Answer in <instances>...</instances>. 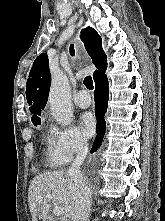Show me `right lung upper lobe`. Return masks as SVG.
<instances>
[{"instance_id":"obj_1","label":"right lung upper lobe","mask_w":165,"mask_h":221,"mask_svg":"<svg viewBox=\"0 0 165 221\" xmlns=\"http://www.w3.org/2000/svg\"><path fill=\"white\" fill-rule=\"evenodd\" d=\"M81 39L84 42L85 49L95 64L97 70L93 73L94 81L98 82L105 76L107 68V56L102 49V39L99 34L90 27L81 31ZM70 54L74 55L73 46H70ZM49 60L46 53L40 54L34 61L29 73L26 85V98L29 104V110L33 114L32 120L39 118L44 109L49 89H50V72Z\"/></svg>"}]
</instances>
